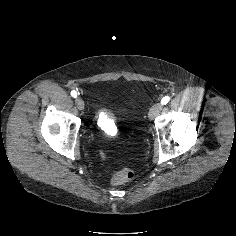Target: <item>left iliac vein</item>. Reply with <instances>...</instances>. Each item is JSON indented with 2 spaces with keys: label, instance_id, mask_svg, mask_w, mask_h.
Here are the masks:
<instances>
[{
  "label": "left iliac vein",
  "instance_id": "left-iliac-vein-1",
  "mask_svg": "<svg viewBox=\"0 0 236 236\" xmlns=\"http://www.w3.org/2000/svg\"><path fill=\"white\" fill-rule=\"evenodd\" d=\"M161 110H162V105L161 104H159V103L154 104L149 110V113H148L149 119L153 120L156 116L159 115Z\"/></svg>",
  "mask_w": 236,
  "mask_h": 236
}]
</instances>
